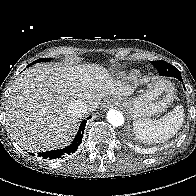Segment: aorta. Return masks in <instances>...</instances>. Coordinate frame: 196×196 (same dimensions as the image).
Returning a JSON list of instances; mask_svg holds the SVG:
<instances>
[{"mask_svg":"<svg viewBox=\"0 0 196 196\" xmlns=\"http://www.w3.org/2000/svg\"><path fill=\"white\" fill-rule=\"evenodd\" d=\"M107 119L108 122L115 127L122 126L125 122V118L122 113L114 109L107 112Z\"/></svg>","mask_w":196,"mask_h":196,"instance_id":"762f6f07","label":"aorta"}]
</instances>
